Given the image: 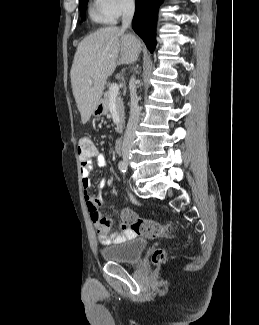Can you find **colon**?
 I'll return each mask as SVG.
<instances>
[{
  "label": "colon",
  "mask_w": 259,
  "mask_h": 325,
  "mask_svg": "<svg viewBox=\"0 0 259 325\" xmlns=\"http://www.w3.org/2000/svg\"><path fill=\"white\" fill-rule=\"evenodd\" d=\"M95 146L89 136H81L77 143V153L81 160L90 159L95 153ZM121 219L125 226L130 228L135 234L146 238H159L173 236L176 226L173 223L162 224L155 220L143 219L130 209H125L121 213ZM166 258V251L158 248L152 255L154 263H161Z\"/></svg>",
  "instance_id": "colon-1"
}]
</instances>
